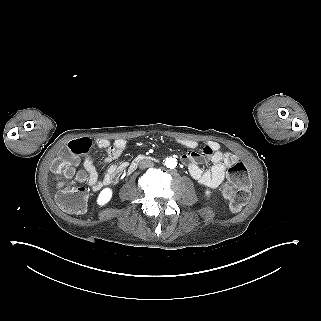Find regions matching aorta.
I'll use <instances>...</instances> for the list:
<instances>
[{"label": "aorta", "mask_w": 321, "mask_h": 321, "mask_svg": "<svg viewBox=\"0 0 321 321\" xmlns=\"http://www.w3.org/2000/svg\"><path fill=\"white\" fill-rule=\"evenodd\" d=\"M166 167L173 169L177 166V160L175 158L169 157L166 158L164 161Z\"/></svg>", "instance_id": "1"}]
</instances>
